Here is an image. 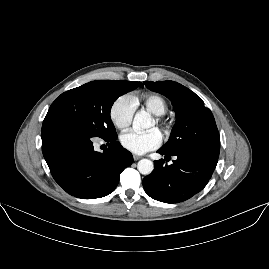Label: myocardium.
Instances as JSON below:
<instances>
[{
	"instance_id": "f54148a6",
	"label": "myocardium",
	"mask_w": 269,
	"mask_h": 269,
	"mask_svg": "<svg viewBox=\"0 0 269 269\" xmlns=\"http://www.w3.org/2000/svg\"><path fill=\"white\" fill-rule=\"evenodd\" d=\"M156 121H157V125L159 129L163 131L165 136L168 138L172 129L171 124L166 119H164L161 115H156Z\"/></svg>"
}]
</instances>
